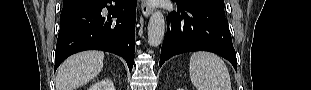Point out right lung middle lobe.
Returning a JSON list of instances; mask_svg holds the SVG:
<instances>
[{"label": "right lung middle lobe", "instance_id": "right-lung-middle-lobe-1", "mask_svg": "<svg viewBox=\"0 0 311 90\" xmlns=\"http://www.w3.org/2000/svg\"><path fill=\"white\" fill-rule=\"evenodd\" d=\"M76 1H78V0H64V1H63V7L68 6V5H71V4H73L74 2H76Z\"/></svg>", "mask_w": 311, "mask_h": 90}]
</instances>
